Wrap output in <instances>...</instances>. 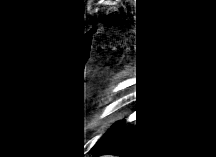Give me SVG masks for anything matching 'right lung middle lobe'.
<instances>
[{"label": "right lung middle lobe", "instance_id": "right-lung-middle-lobe-1", "mask_svg": "<svg viewBox=\"0 0 216 157\" xmlns=\"http://www.w3.org/2000/svg\"><path fill=\"white\" fill-rule=\"evenodd\" d=\"M122 120H119L118 122H116L115 124H113V126L105 133L103 134L100 138H98L95 142L94 145L100 143L107 135H109L112 131H114L118 125L121 123Z\"/></svg>", "mask_w": 216, "mask_h": 157}]
</instances>
